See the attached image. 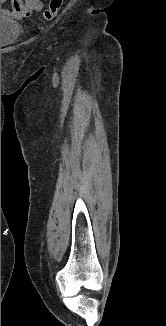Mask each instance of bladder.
I'll list each match as a JSON object with an SVG mask.
<instances>
[{
  "label": "bladder",
  "instance_id": "1",
  "mask_svg": "<svg viewBox=\"0 0 166 326\" xmlns=\"http://www.w3.org/2000/svg\"><path fill=\"white\" fill-rule=\"evenodd\" d=\"M20 34V24L7 16L1 14V49L16 43Z\"/></svg>",
  "mask_w": 166,
  "mask_h": 326
}]
</instances>
